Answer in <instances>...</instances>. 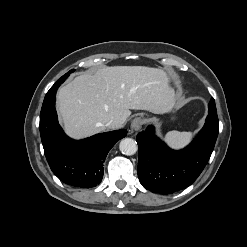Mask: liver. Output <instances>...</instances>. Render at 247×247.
<instances>
[{
    "label": "liver",
    "mask_w": 247,
    "mask_h": 247,
    "mask_svg": "<svg viewBox=\"0 0 247 247\" xmlns=\"http://www.w3.org/2000/svg\"><path fill=\"white\" fill-rule=\"evenodd\" d=\"M175 100L166 72L145 66L104 67L77 76L57 92L64 130L73 139L105 131L110 120L120 127L131 110L164 113Z\"/></svg>",
    "instance_id": "1"
}]
</instances>
